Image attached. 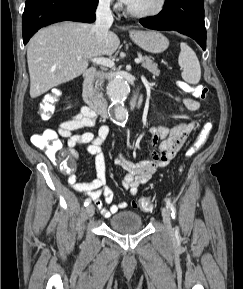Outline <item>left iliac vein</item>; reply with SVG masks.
<instances>
[{"label":"left iliac vein","mask_w":243,"mask_h":289,"mask_svg":"<svg viewBox=\"0 0 243 289\" xmlns=\"http://www.w3.org/2000/svg\"><path fill=\"white\" fill-rule=\"evenodd\" d=\"M162 217H163V222H164L166 230L168 232H171L172 231L171 215H170V210L168 207L162 208Z\"/></svg>","instance_id":"4c4485c4"}]
</instances>
